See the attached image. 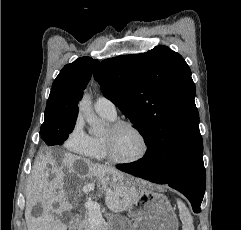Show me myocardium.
Instances as JSON below:
<instances>
[{
    "mask_svg": "<svg viewBox=\"0 0 241 230\" xmlns=\"http://www.w3.org/2000/svg\"><path fill=\"white\" fill-rule=\"evenodd\" d=\"M122 127H128L138 135V137L140 138V140L142 142V151L135 158L119 159L114 155L110 137L104 136L103 142H104V149H105L107 159L109 161H111L112 163L118 164V165H130V164H135V163L142 161L146 157V155L148 154V151H149V143H148V140H147L145 134L134 123H132L131 121H127V120L114 121L110 124L108 129H109L110 133H113Z\"/></svg>",
    "mask_w": 241,
    "mask_h": 230,
    "instance_id": "obj_1",
    "label": "myocardium"
}]
</instances>
